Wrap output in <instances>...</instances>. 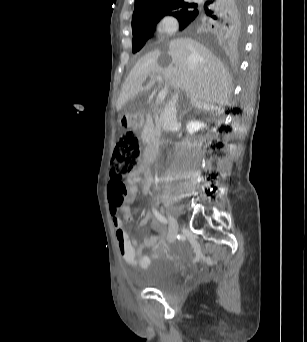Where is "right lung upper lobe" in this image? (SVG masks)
Returning a JSON list of instances; mask_svg holds the SVG:
<instances>
[{"label": "right lung upper lobe", "instance_id": "right-lung-upper-lobe-1", "mask_svg": "<svg viewBox=\"0 0 307 342\" xmlns=\"http://www.w3.org/2000/svg\"><path fill=\"white\" fill-rule=\"evenodd\" d=\"M238 0H210L193 6L184 0H135L132 16L133 35L153 32L155 24L165 15L175 16L180 29L193 27L214 41L224 40L230 22L240 8Z\"/></svg>", "mask_w": 307, "mask_h": 342}]
</instances>
